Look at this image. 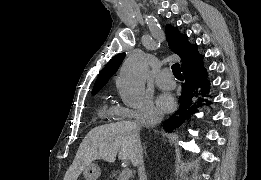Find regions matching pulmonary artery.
I'll return each instance as SVG.
<instances>
[{
	"instance_id": "obj_1",
	"label": "pulmonary artery",
	"mask_w": 261,
	"mask_h": 180,
	"mask_svg": "<svg viewBox=\"0 0 261 180\" xmlns=\"http://www.w3.org/2000/svg\"><path fill=\"white\" fill-rule=\"evenodd\" d=\"M156 84L164 89H172L175 86V82L172 79V72L170 69H163L155 79Z\"/></svg>"
}]
</instances>
